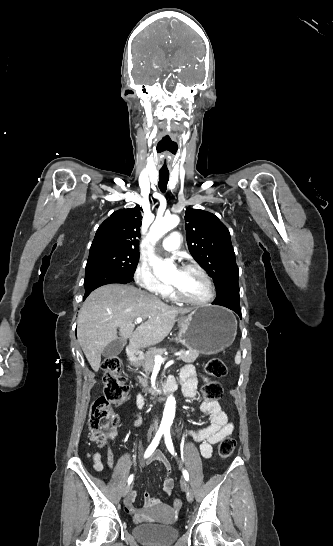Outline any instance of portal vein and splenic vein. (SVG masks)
<instances>
[{
    "mask_svg": "<svg viewBox=\"0 0 333 546\" xmlns=\"http://www.w3.org/2000/svg\"><path fill=\"white\" fill-rule=\"evenodd\" d=\"M142 320H143V319H142L141 317H138V318L136 319L135 322H136L137 324H140V323L142 322ZM183 353H184L183 351H178V352H175V353H174V356H180V355H182ZM165 360H166V358H163V357L160 356V355H156V356H155V363H157V364H161V363H163Z\"/></svg>",
    "mask_w": 333,
    "mask_h": 546,
    "instance_id": "obj_1",
    "label": "portal vein and splenic vein"
}]
</instances>
